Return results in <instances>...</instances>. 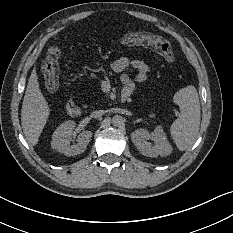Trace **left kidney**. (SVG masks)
<instances>
[{"label":"left kidney","mask_w":233,"mask_h":233,"mask_svg":"<svg viewBox=\"0 0 233 233\" xmlns=\"http://www.w3.org/2000/svg\"><path fill=\"white\" fill-rule=\"evenodd\" d=\"M131 139L139 152L147 157L168 156L173 150L162 126H157L152 133L145 129H137L131 134ZM148 139L153 140L154 145L147 142Z\"/></svg>","instance_id":"left-kidney-1"}]
</instances>
